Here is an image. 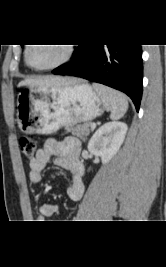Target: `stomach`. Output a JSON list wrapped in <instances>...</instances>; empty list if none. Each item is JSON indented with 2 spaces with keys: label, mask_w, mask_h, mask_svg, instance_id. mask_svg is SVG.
I'll return each instance as SVG.
<instances>
[{
  "label": "stomach",
  "mask_w": 166,
  "mask_h": 267,
  "mask_svg": "<svg viewBox=\"0 0 166 267\" xmlns=\"http://www.w3.org/2000/svg\"><path fill=\"white\" fill-rule=\"evenodd\" d=\"M17 107L19 129L44 135L92 121L105 110L98 93L84 81L60 87L29 86L19 93Z\"/></svg>",
  "instance_id": "0dacf381"
}]
</instances>
